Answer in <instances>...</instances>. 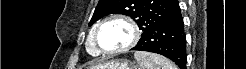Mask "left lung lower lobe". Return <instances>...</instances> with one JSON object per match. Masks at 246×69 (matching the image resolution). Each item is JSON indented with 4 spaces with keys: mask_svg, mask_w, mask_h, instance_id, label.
I'll list each match as a JSON object with an SVG mask.
<instances>
[{
    "mask_svg": "<svg viewBox=\"0 0 246 69\" xmlns=\"http://www.w3.org/2000/svg\"><path fill=\"white\" fill-rule=\"evenodd\" d=\"M131 50L161 54L186 69V38L180 7L144 31Z\"/></svg>",
    "mask_w": 246,
    "mask_h": 69,
    "instance_id": "0a47b994",
    "label": "left lung lower lobe"
}]
</instances>
